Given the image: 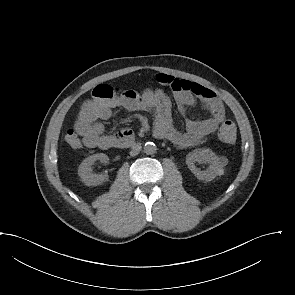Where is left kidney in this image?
<instances>
[{
    "instance_id": "obj_1",
    "label": "left kidney",
    "mask_w": 295,
    "mask_h": 295,
    "mask_svg": "<svg viewBox=\"0 0 295 295\" xmlns=\"http://www.w3.org/2000/svg\"><path fill=\"white\" fill-rule=\"evenodd\" d=\"M208 163L210 166L207 170L201 171L195 166V163ZM186 164L191 172L199 180L211 181L216 176L224 173V165L220 157H218L211 149H195L186 156Z\"/></svg>"
}]
</instances>
